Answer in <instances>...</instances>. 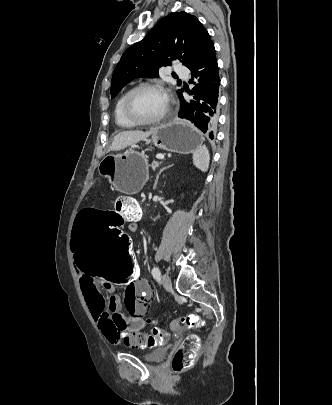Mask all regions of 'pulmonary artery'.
I'll list each match as a JSON object with an SVG mask.
<instances>
[{"mask_svg": "<svg viewBox=\"0 0 332 405\" xmlns=\"http://www.w3.org/2000/svg\"><path fill=\"white\" fill-rule=\"evenodd\" d=\"M173 70L175 71V73H177L181 77H184V78L188 77L187 69L181 65H175Z\"/></svg>", "mask_w": 332, "mask_h": 405, "instance_id": "e3ab8cb5", "label": "pulmonary artery"}]
</instances>
